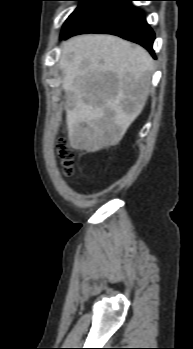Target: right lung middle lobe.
Masks as SVG:
<instances>
[{
  "label": "right lung middle lobe",
  "instance_id": "dd1d6c3e",
  "mask_svg": "<svg viewBox=\"0 0 193 349\" xmlns=\"http://www.w3.org/2000/svg\"><path fill=\"white\" fill-rule=\"evenodd\" d=\"M74 1H80V4L64 23L62 33H64L65 31L73 27L79 20H81L85 15H87L95 7L101 4L104 0H74Z\"/></svg>",
  "mask_w": 193,
  "mask_h": 349
}]
</instances>
